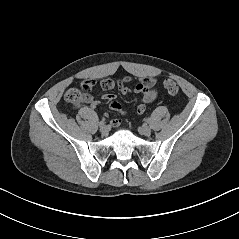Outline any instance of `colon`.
Here are the masks:
<instances>
[{"label": "colon", "instance_id": "5ec220e1", "mask_svg": "<svg viewBox=\"0 0 239 239\" xmlns=\"http://www.w3.org/2000/svg\"><path fill=\"white\" fill-rule=\"evenodd\" d=\"M163 86L165 90L171 94L176 95L179 92L178 84L171 79H167L164 81ZM93 88L92 82H87L82 85L81 89L72 88L69 89L65 94V100L74 107L80 106L82 103L88 101V92Z\"/></svg>", "mask_w": 239, "mask_h": 239}]
</instances>
